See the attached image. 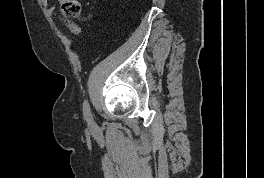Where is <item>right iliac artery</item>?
<instances>
[{
    "label": "right iliac artery",
    "mask_w": 264,
    "mask_h": 178,
    "mask_svg": "<svg viewBox=\"0 0 264 178\" xmlns=\"http://www.w3.org/2000/svg\"><path fill=\"white\" fill-rule=\"evenodd\" d=\"M83 114H84V118L87 121V123L88 124H92L93 123V118H92L90 107H89V103H88L87 100H85L84 104H83Z\"/></svg>",
    "instance_id": "1"
}]
</instances>
